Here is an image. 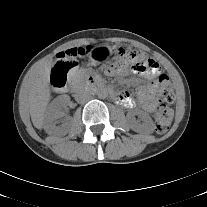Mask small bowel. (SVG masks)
<instances>
[{
	"label": "small bowel",
	"mask_w": 207,
	"mask_h": 207,
	"mask_svg": "<svg viewBox=\"0 0 207 207\" xmlns=\"http://www.w3.org/2000/svg\"><path fill=\"white\" fill-rule=\"evenodd\" d=\"M126 61L128 62V60ZM130 69L133 72H141L139 69L135 70L132 69L131 67ZM127 71H128L127 64H122L120 66L109 68L107 74L110 76H124L126 75ZM157 88H158L157 82L151 81L147 85L141 87L138 90V102L140 106L147 112L153 111ZM113 97L118 103L124 105L125 107L132 108L136 105L135 100L127 92H115V95Z\"/></svg>",
	"instance_id": "1"
}]
</instances>
